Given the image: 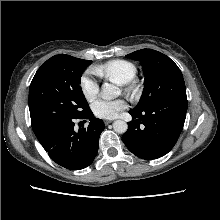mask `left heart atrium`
<instances>
[{"label":"left heart atrium","instance_id":"1","mask_svg":"<svg viewBox=\"0 0 220 220\" xmlns=\"http://www.w3.org/2000/svg\"><path fill=\"white\" fill-rule=\"evenodd\" d=\"M126 108L127 102L124 99H99L92 104V111L94 115L104 119L115 118L119 112Z\"/></svg>","mask_w":220,"mask_h":220}]
</instances>
